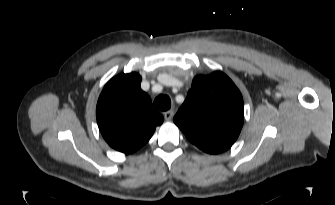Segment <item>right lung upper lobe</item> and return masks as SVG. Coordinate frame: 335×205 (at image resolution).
<instances>
[{"label":"right lung upper lobe","mask_w":335,"mask_h":205,"mask_svg":"<svg viewBox=\"0 0 335 205\" xmlns=\"http://www.w3.org/2000/svg\"><path fill=\"white\" fill-rule=\"evenodd\" d=\"M140 83L141 76L134 72L113 77L103 88L96 107L103 138L125 154L146 144L164 121Z\"/></svg>","instance_id":"obj_1"}]
</instances>
